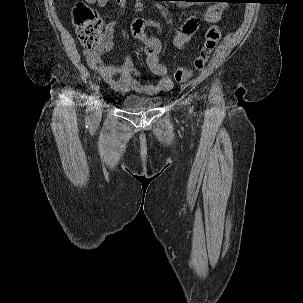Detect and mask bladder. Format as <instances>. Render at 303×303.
Returning a JSON list of instances; mask_svg holds the SVG:
<instances>
[{
	"label": "bladder",
	"instance_id": "31cf9c89",
	"mask_svg": "<svg viewBox=\"0 0 303 303\" xmlns=\"http://www.w3.org/2000/svg\"><path fill=\"white\" fill-rule=\"evenodd\" d=\"M163 102L162 96L153 95H126L121 100V108L128 112H140L158 108Z\"/></svg>",
	"mask_w": 303,
	"mask_h": 303
}]
</instances>
